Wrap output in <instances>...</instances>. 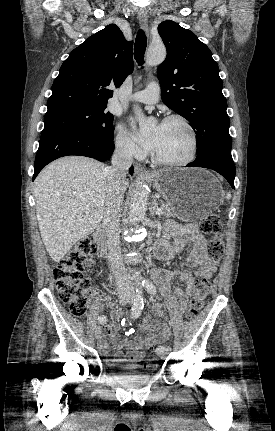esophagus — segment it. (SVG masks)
Masks as SVG:
<instances>
[{
    "label": "esophagus",
    "instance_id": "obj_1",
    "mask_svg": "<svg viewBox=\"0 0 275 431\" xmlns=\"http://www.w3.org/2000/svg\"><path fill=\"white\" fill-rule=\"evenodd\" d=\"M138 18H139V21H140L142 27L144 28L146 34L148 35L149 28H148V15H147V12L144 9H140L138 11ZM135 174H137V175H144V176H150V175H152L151 172L147 171L140 164H136L135 165Z\"/></svg>",
    "mask_w": 275,
    "mask_h": 431
}]
</instances>
